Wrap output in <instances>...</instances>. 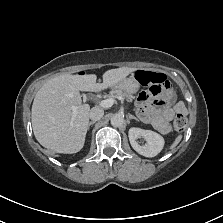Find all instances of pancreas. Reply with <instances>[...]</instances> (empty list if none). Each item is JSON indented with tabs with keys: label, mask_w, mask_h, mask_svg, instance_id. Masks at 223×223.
I'll use <instances>...</instances> for the list:
<instances>
[{
	"label": "pancreas",
	"mask_w": 223,
	"mask_h": 223,
	"mask_svg": "<svg viewBox=\"0 0 223 223\" xmlns=\"http://www.w3.org/2000/svg\"><path fill=\"white\" fill-rule=\"evenodd\" d=\"M115 96H121V97H128L127 100L128 101H132L133 99V96L132 95H129L127 96L125 93L123 92H119V91H116V89H110V92L108 94V98H113Z\"/></svg>",
	"instance_id": "obj_1"
}]
</instances>
